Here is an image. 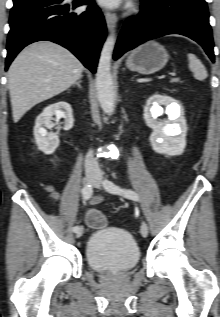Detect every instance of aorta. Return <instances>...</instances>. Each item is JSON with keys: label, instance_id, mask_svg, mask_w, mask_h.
<instances>
[{"label": "aorta", "instance_id": "1", "mask_svg": "<svg viewBox=\"0 0 220 317\" xmlns=\"http://www.w3.org/2000/svg\"><path fill=\"white\" fill-rule=\"evenodd\" d=\"M115 35L107 37L103 44L96 72V89L100 106L104 113L112 115L115 107V94L111 75V58L115 45Z\"/></svg>", "mask_w": 220, "mask_h": 317}]
</instances>
